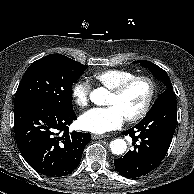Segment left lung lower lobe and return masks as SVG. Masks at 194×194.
Listing matches in <instances>:
<instances>
[{
    "mask_svg": "<svg viewBox=\"0 0 194 194\" xmlns=\"http://www.w3.org/2000/svg\"><path fill=\"white\" fill-rule=\"evenodd\" d=\"M176 122V100L152 107L142 121L122 132L132 137L134 150L114 161L117 171L126 178H136L157 168L168 151Z\"/></svg>",
    "mask_w": 194,
    "mask_h": 194,
    "instance_id": "left-lung-lower-lobe-1",
    "label": "left lung lower lobe"
}]
</instances>
